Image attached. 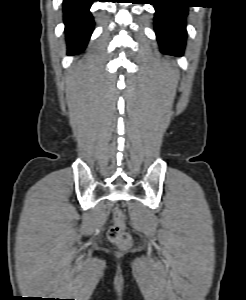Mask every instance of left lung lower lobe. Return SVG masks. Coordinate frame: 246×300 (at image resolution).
I'll list each match as a JSON object with an SVG mask.
<instances>
[{
	"label": "left lung lower lobe",
	"mask_w": 246,
	"mask_h": 300,
	"mask_svg": "<svg viewBox=\"0 0 246 300\" xmlns=\"http://www.w3.org/2000/svg\"><path fill=\"white\" fill-rule=\"evenodd\" d=\"M155 6L154 26L161 52L180 56L186 40L189 5L180 0H152Z\"/></svg>",
	"instance_id": "left-lung-lower-lobe-1"
}]
</instances>
